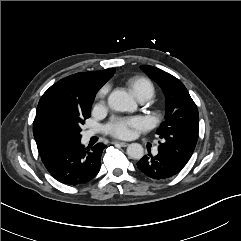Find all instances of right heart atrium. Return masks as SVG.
<instances>
[{"label": "right heart atrium", "instance_id": "right-heart-atrium-1", "mask_svg": "<svg viewBox=\"0 0 241 241\" xmlns=\"http://www.w3.org/2000/svg\"><path fill=\"white\" fill-rule=\"evenodd\" d=\"M108 92V87L105 86L103 87L97 94V98L99 100V105H101L103 103L104 97Z\"/></svg>", "mask_w": 241, "mask_h": 241}]
</instances>
